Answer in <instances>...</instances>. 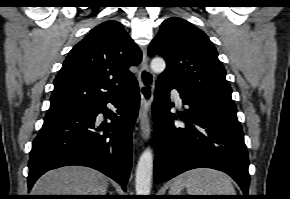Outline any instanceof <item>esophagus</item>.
<instances>
[{"instance_id": "34e87169", "label": "esophagus", "mask_w": 290, "mask_h": 199, "mask_svg": "<svg viewBox=\"0 0 290 199\" xmlns=\"http://www.w3.org/2000/svg\"><path fill=\"white\" fill-rule=\"evenodd\" d=\"M139 90L141 95V108L139 112L140 131L144 139L150 136V108L154 96L155 76L149 68L146 50L143 52L138 74Z\"/></svg>"}]
</instances>
